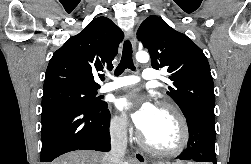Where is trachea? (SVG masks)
<instances>
[{"label":"trachea","instance_id":"trachea-1","mask_svg":"<svg viewBox=\"0 0 251 164\" xmlns=\"http://www.w3.org/2000/svg\"><path fill=\"white\" fill-rule=\"evenodd\" d=\"M135 70L132 59V45L129 40H126L123 45L122 58L115 70V75L118 76L124 72L125 69Z\"/></svg>","mask_w":251,"mask_h":164}]
</instances>
